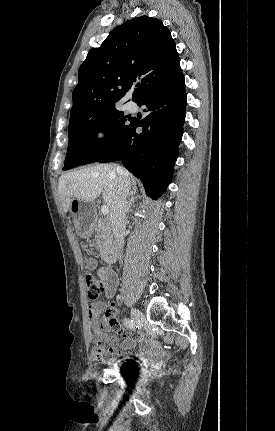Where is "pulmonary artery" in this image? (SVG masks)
Wrapping results in <instances>:
<instances>
[{"label":"pulmonary artery","mask_w":275,"mask_h":431,"mask_svg":"<svg viewBox=\"0 0 275 431\" xmlns=\"http://www.w3.org/2000/svg\"><path fill=\"white\" fill-rule=\"evenodd\" d=\"M127 108H128L129 110H134V109L136 108V105H135L133 102H129V103L127 104Z\"/></svg>","instance_id":"e3ab8cb5"}]
</instances>
